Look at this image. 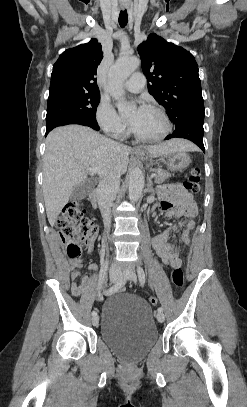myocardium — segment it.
Instances as JSON below:
<instances>
[{
    "label": "myocardium",
    "instance_id": "f54148a6",
    "mask_svg": "<svg viewBox=\"0 0 247 407\" xmlns=\"http://www.w3.org/2000/svg\"><path fill=\"white\" fill-rule=\"evenodd\" d=\"M146 109L152 110L157 112L163 119L164 123H165V130L164 132L159 135L158 137H154V138H145L140 136L133 128V126H130V132L133 135V137L141 142V143H146V144H152V143H158L163 141L172 131V122L167 114V112L160 106L157 105H148L145 107Z\"/></svg>",
    "mask_w": 247,
    "mask_h": 407
}]
</instances>
